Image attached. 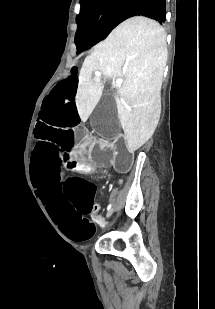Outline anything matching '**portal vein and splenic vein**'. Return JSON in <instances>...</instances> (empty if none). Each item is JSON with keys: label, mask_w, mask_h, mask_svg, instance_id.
I'll use <instances>...</instances> for the list:
<instances>
[{"label": "portal vein and splenic vein", "mask_w": 215, "mask_h": 309, "mask_svg": "<svg viewBox=\"0 0 215 309\" xmlns=\"http://www.w3.org/2000/svg\"><path fill=\"white\" fill-rule=\"evenodd\" d=\"M95 74H96V76H100V74H102V72H99V70H96ZM115 82H116V86H121V84L123 82V78H116Z\"/></svg>", "instance_id": "1"}]
</instances>
